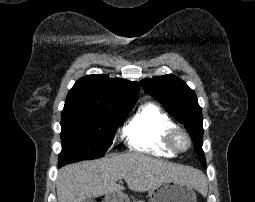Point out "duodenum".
<instances>
[{
  "label": "duodenum",
  "instance_id": "1",
  "mask_svg": "<svg viewBox=\"0 0 255 202\" xmlns=\"http://www.w3.org/2000/svg\"><path fill=\"white\" fill-rule=\"evenodd\" d=\"M106 202H122L116 193H110L106 197Z\"/></svg>",
  "mask_w": 255,
  "mask_h": 202
}]
</instances>
